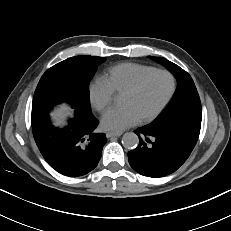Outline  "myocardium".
<instances>
[{"label":"myocardium","instance_id":"obj_1","mask_svg":"<svg viewBox=\"0 0 231 231\" xmlns=\"http://www.w3.org/2000/svg\"><path fill=\"white\" fill-rule=\"evenodd\" d=\"M155 74L167 75L171 80V89L169 91V94L165 98V100L160 104V106L157 109H155L149 115H146V116L140 118V122H142V123L150 122L153 119H155L165 109V107L169 104V102L172 100V98L176 92V87H177V83H176V79H175L174 75L170 71L165 70V69H154V70L148 72L147 74L143 75L142 77H140L133 85H131L123 93V94H133V93L137 92L141 88V86L151 76H153Z\"/></svg>","mask_w":231,"mask_h":231}]
</instances>
